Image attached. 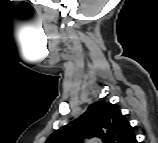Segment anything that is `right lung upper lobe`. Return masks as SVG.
Instances as JSON below:
<instances>
[{
	"label": "right lung upper lobe",
	"instance_id": "1",
	"mask_svg": "<svg viewBox=\"0 0 158 143\" xmlns=\"http://www.w3.org/2000/svg\"><path fill=\"white\" fill-rule=\"evenodd\" d=\"M84 138H104L107 143H133V127L118 107L98 101L78 119L53 132L46 143H82Z\"/></svg>",
	"mask_w": 158,
	"mask_h": 143
}]
</instances>
